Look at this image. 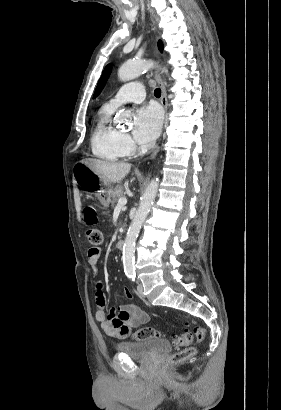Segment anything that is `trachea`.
Wrapping results in <instances>:
<instances>
[{
	"label": "trachea",
	"mask_w": 281,
	"mask_h": 410,
	"mask_svg": "<svg viewBox=\"0 0 281 410\" xmlns=\"http://www.w3.org/2000/svg\"><path fill=\"white\" fill-rule=\"evenodd\" d=\"M154 95H155L156 97H160V96H161V89H159V88L155 89V90H154Z\"/></svg>",
	"instance_id": "1"
}]
</instances>
